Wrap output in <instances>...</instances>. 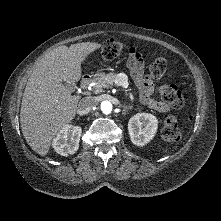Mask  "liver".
Masks as SVG:
<instances>
[{
    "instance_id": "obj_1",
    "label": "liver",
    "mask_w": 221,
    "mask_h": 221,
    "mask_svg": "<svg viewBox=\"0 0 221 221\" xmlns=\"http://www.w3.org/2000/svg\"><path fill=\"white\" fill-rule=\"evenodd\" d=\"M102 45L95 42L63 45L46 52L37 62L24 90L20 123L23 136L33 151L48 154L58 132L70 123L80 99L64 82L81 78V64Z\"/></svg>"
}]
</instances>
